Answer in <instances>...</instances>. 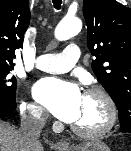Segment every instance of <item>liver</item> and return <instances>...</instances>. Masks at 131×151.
Masks as SVG:
<instances>
[{"mask_svg": "<svg viewBox=\"0 0 131 151\" xmlns=\"http://www.w3.org/2000/svg\"><path fill=\"white\" fill-rule=\"evenodd\" d=\"M0 151H43L37 140L30 142L8 123L0 120Z\"/></svg>", "mask_w": 131, "mask_h": 151, "instance_id": "obj_1", "label": "liver"}]
</instances>
